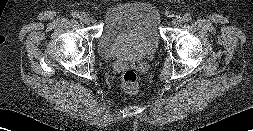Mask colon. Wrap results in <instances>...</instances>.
<instances>
[{"instance_id": "1", "label": "colon", "mask_w": 253, "mask_h": 131, "mask_svg": "<svg viewBox=\"0 0 253 131\" xmlns=\"http://www.w3.org/2000/svg\"><path fill=\"white\" fill-rule=\"evenodd\" d=\"M122 86L130 94H135L139 88L138 75L133 70H127L122 76Z\"/></svg>"}]
</instances>
